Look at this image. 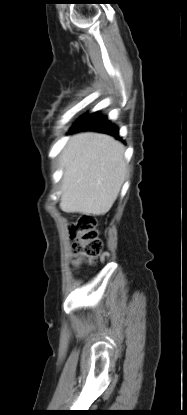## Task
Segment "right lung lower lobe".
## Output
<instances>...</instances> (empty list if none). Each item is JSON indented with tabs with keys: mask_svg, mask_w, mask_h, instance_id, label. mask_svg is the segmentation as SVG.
<instances>
[{
	"mask_svg": "<svg viewBox=\"0 0 187 415\" xmlns=\"http://www.w3.org/2000/svg\"><path fill=\"white\" fill-rule=\"evenodd\" d=\"M78 131H97L110 134L115 138L120 139L118 136V128L112 125L110 121L107 120L106 116H101L99 112L83 115L78 119L70 132Z\"/></svg>",
	"mask_w": 187,
	"mask_h": 415,
	"instance_id": "1",
	"label": "right lung lower lobe"
}]
</instances>
